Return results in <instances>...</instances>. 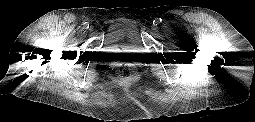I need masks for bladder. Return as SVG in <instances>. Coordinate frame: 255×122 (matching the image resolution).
I'll list each match as a JSON object with an SVG mask.
<instances>
[{"mask_svg": "<svg viewBox=\"0 0 255 122\" xmlns=\"http://www.w3.org/2000/svg\"><path fill=\"white\" fill-rule=\"evenodd\" d=\"M138 31L134 25L122 24L112 27L107 34V42L111 46L124 44L135 48L138 44Z\"/></svg>", "mask_w": 255, "mask_h": 122, "instance_id": "31cf9c89", "label": "bladder"}]
</instances>
